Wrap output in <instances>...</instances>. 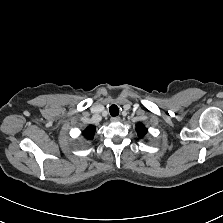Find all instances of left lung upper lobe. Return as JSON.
<instances>
[{
    "instance_id": "obj_1",
    "label": "left lung upper lobe",
    "mask_w": 223,
    "mask_h": 223,
    "mask_svg": "<svg viewBox=\"0 0 223 223\" xmlns=\"http://www.w3.org/2000/svg\"><path fill=\"white\" fill-rule=\"evenodd\" d=\"M136 131L140 138H143L147 133V129L145 128V126L142 123L137 124Z\"/></svg>"
}]
</instances>
